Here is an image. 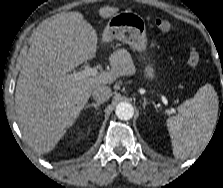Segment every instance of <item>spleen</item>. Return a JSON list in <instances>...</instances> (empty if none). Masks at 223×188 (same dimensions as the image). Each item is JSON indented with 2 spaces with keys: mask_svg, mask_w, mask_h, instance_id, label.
<instances>
[{
  "mask_svg": "<svg viewBox=\"0 0 223 188\" xmlns=\"http://www.w3.org/2000/svg\"><path fill=\"white\" fill-rule=\"evenodd\" d=\"M218 104L213 87L205 85L194 98L178 106V114L166 120L175 156H189L210 135L217 118Z\"/></svg>",
  "mask_w": 223,
  "mask_h": 188,
  "instance_id": "spleen-1",
  "label": "spleen"
}]
</instances>
